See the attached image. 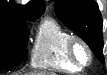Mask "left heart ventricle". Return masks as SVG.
<instances>
[{
	"instance_id": "1",
	"label": "left heart ventricle",
	"mask_w": 107,
	"mask_h": 75,
	"mask_svg": "<svg viewBox=\"0 0 107 75\" xmlns=\"http://www.w3.org/2000/svg\"><path fill=\"white\" fill-rule=\"evenodd\" d=\"M76 55H77L78 59L82 62H86L88 59L86 50L80 45L76 46Z\"/></svg>"
}]
</instances>
